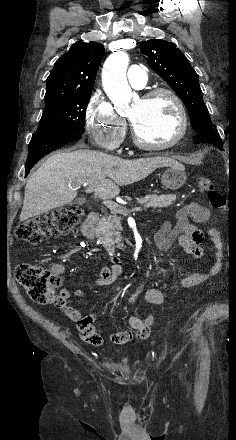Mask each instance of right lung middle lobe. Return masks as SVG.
Segmentation results:
<instances>
[{
    "label": "right lung middle lobe",
    "mask_w": 236,
    "mask_h": 440,
    "mask_svg": "<svg viewBox=\"0 0 236 440\" xmlns=\"http://www.w3.org/2000/svg\"><path fill=\"white\" fill-rule=\"evenodd\" d=\"M90 93L45 103V108L35 133H84L85 113Z\"/></svg>",
    "instance_id": "right-lung-middle-lobe-1"
}]
</instances>
